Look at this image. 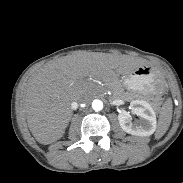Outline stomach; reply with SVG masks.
<instances>
[{
	"label": "stomach",
	"instance_id": "0dacf381",
	"mask_svg": "<svg viewBox=\"0 0 183 183\" xmlns=\"http://www.w3.org/2000/svg\"><path fill=\"white\" fill-rule=\"evenodd\" d=\"M160 81V73L157 70L141 66L127 74L122 85L132 92L147 94L151 92L153 85Z\"/></svg>",
	"mask_w": 183,
	"mask_h": 183
}]
</instances>
